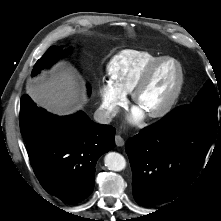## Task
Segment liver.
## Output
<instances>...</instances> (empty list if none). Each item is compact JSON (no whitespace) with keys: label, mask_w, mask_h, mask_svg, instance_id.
I'll list each match as a JSON object with an SVG mask.
<instances>
[{"label":"liver","mask_w":221,"mask_h":221,"mask_svg":"<svg viewBox=\"0 0 221 221\" xmlns=\"http://www.w3.org/2000/svg\"><path fill=\"white\" fill-rule=\"evenodd\" d=\"M26 90L38 106L57 115L71 114L85 104L80 76L70 66H60L48 77L28 82Z\"/></svg>","instance_id":"6515ba94"}]
</instances>
